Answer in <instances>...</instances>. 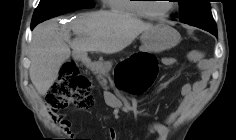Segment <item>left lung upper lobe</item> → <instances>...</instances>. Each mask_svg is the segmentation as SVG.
I'll return each instance as SVG.
<instances>
[{
  "label": "left lung upper lobe",
  "mask_w": 236,
  "mask_h": 140,
  "mask_svg": "<svg viewBox=\"0 0 236 140\" xmlns=\"http://www.w3.org/2000/svg\"><path fill=\"white\" fill-rule=\"evenodd\" d=\"M180 21L206 30L217 36L216 23L212 17L210 0H177Z\"/></svg>",
  "instance_id": "5c2ea615"
}]
</instances>
